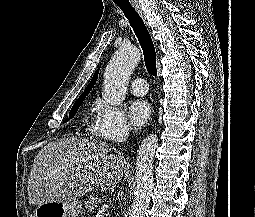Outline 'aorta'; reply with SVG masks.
<instances>
[{"label": "aorta", "instance_id": "1", "mask_svg": "<svg viewBox=\"0 0 255 217\" xmlns=\"http://www.w3.org/2000/svg\"><path fill=\"white\" fill-rule=\"evenodd\" d=\"M140 52L124 44L112 56L105 73L102 96L111 105H120L126 96L129 77L140 60ZM158 146L156 134L148 135L141 143L136 159V189L129 217H144L153 190V158Z\"/></svg>", "mask_w": 255, "mask_h": 217}]
</instances>
